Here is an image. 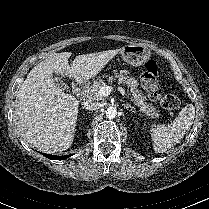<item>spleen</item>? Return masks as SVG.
Instances as JSON below:
<instances>
[{
  "label": "spleen",
  "instance_id": "1",
  "mask_svg": "<svg viewBox=\"0 0 209 209\" xmlns=\"http://www.w3.org/2000/svg\"><path fill=\"white\" fill-rule=\"evenodd\" d=\"M195 117V108L192 104H187L179 112L171 124L152 125L151 137L154 142L153 149L156 153L166 152L168 149L179 143L191 128Z\"/></svg>",
  "mask_w": 209,
  "mask_h": 209
}]
</instances>
